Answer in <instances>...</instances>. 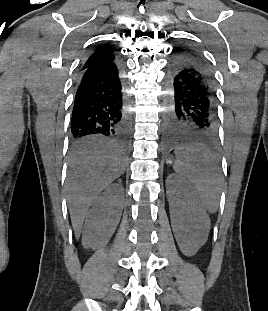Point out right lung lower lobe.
I'll list each match as a JSON object with an SVG mask.
<instances>
[{
  "mask_svg": "<svg viewBox=\"0 0 268 311\" xmlns=\"http://www.w3.org/2000/svg\"><path fill=\"white\" fill-rule=\"evenodd\" d=\"M76 87L70 120L71 138L104 135L125 144L130 119L119 60L105 66L85 68L83 65Z\"/></svg>",
  "mask_w": 268,
  "mask_h": 311,
  "instance_id": "right-lung-lower-lobe-1",
  "label": "right lung lower lobe"
}]
</instances>
